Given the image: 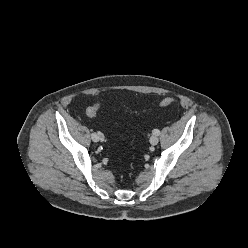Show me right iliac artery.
Masks as SVG:
<instances>
[{"label":"right iliac artery","mask_w":248,"mask_h":248,"mask_svg":"<svg viewBox=\"0 0 248 248\" xmlns=\"http://www.w3.org/2000/svg\"><path fill=\"white\" fill-rule=\"evenodd\" d=\"M91 137H92V142H97V134L96 133H92Z\"/></svg>","instance_id":"right-iliac-artery-1"}]
</instances>
